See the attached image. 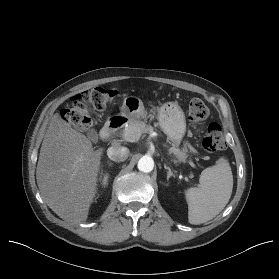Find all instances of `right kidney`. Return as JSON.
I'll list each match as a JSON object with an SVG mask.
<instances>
[{
    "label": "right kidney",
    "instance_id": "ca27d5eb",
    "mask_svg": "<svg viewBox=\"0 0 279 279\" xmlns=\"http://www.w3.org/2000/svg\"><path fill=\"white\" fill-rule=\"evenodd\" d=\"M102 184L105 186V185H107L108 183V175H104V177H103V180H102Z\"/></svg>",
    "mask_w": 279,
    "mask_h": 279
}]
</instances>
